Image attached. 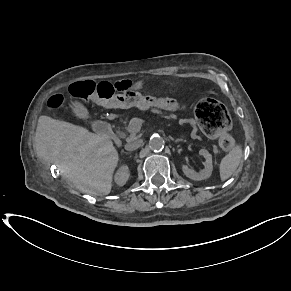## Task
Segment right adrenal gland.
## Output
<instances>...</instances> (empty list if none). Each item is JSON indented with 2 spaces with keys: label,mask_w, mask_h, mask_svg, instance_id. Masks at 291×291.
Masks as SVG:
<instances>
[{
  "label": "right adrenal gland",
  "mask_w": 291,
  "mask_h": 291,
  "mask_svg": "<svg viewBox=\"0 0 291 291\" xmlns=\"http://www.w3.org/2000/svg\"><path fill=\"white\" fill-rule=\"evenodd\" d=\"M122 153H124V154H130V152H125L124 150L122 151Z\"/></svg>",
  "instance_id": "obj_1"
}]
</instances>
